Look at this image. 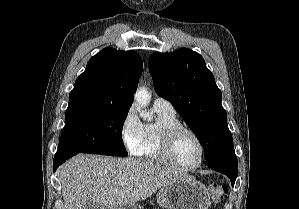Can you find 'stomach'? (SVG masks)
<instances>
[{"instance_id": "1", "label": "stomach", "mask_w": 299, "mask_h": 209, "mask_svg": "<svg viewBox=\"0 0 299 209\" xmlns=\"http://www.w3.org/2000/svg\"><path fill=\"white\" fill-rule=\"evenodd\" d=\"M157 202L166 209H208L211 203L206 186L190 176L159 189ZM108 209H136V207L126 205Z\"/></svg>"}]
</instances>
